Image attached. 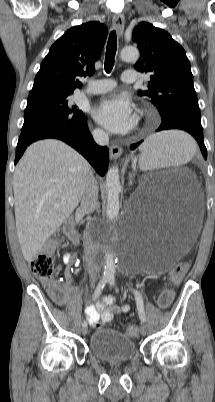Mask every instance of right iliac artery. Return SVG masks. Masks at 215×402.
<instances>
[{
    "label": "right iliac artery",
    "mask_w": 215,
    "mask_h": 402,
    "mask_svg": "<svg viewBox=\"0 0 215 402\" xmlns=\"http://www.w3.org/2000/svg\"><path fill=\"white\" fill-rule=\"evenodd\" d=\"M107 282H108V279L105 278V277H103V278L100 280L99 284H98L97 287H96L95 293H94V297H93L94 300L97 299V298L100 296L101 291H102V289L104 288V286H105V284H106ZM82 326H87V322L84 321V322L82 323Z\"/></svg>",
    "instance_id": "right-iliac-artery-1"
}]
</instances>
